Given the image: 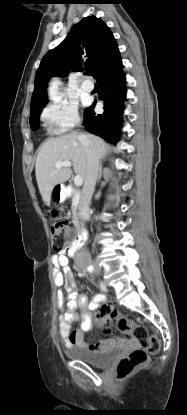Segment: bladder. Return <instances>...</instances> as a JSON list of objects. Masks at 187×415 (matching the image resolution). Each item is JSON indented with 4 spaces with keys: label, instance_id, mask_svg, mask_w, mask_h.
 Here are the masks:
<instances>
[{
    "label": "bladder",
    "instance_id": "obj_1",
    "mask_svg": "<svg viewBox=\"0 0 187 415\" xmlns=\"http://www.w3.org/2000/svg\"><path fill=\"white\" fill-rule=\"evenodd\" d=\"M121 350L120 346L105 351H90L83 347H70L65 350V353L71 359L103 368L108 366L121 353Z\"/></svg>",
    "mask_w": 187,
    "mask_h": 415
}]
</instances>
